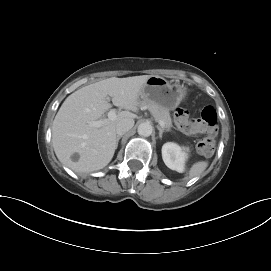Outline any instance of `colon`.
Instances as JSON below:
<instances>
[{
	"label": "colon",
	"mask_w": 271,
	"mask_h": 271,
	"mask_svg": "<svg viewBox=\"0 0 271 271\" xmlns=\"http://www.w3.org/2000/svg\"><path fill=\"white\" fill-rule=\"evenodd\" d=\"M176 125L187 134L203 133L197 144L198 151L205 156L211 155L215 149V139L213 135L217 131V112L214 107L206 106L198 119L190 118L188 110L179 108L174 114Z\"/></svg>",
	"instance_id": "colon-1"
}]
</instances>
